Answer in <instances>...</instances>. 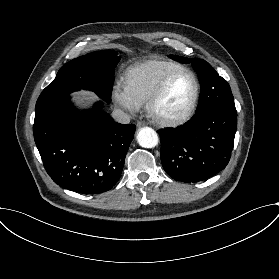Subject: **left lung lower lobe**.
<instances>
[{
    "label": "left lung lower lobe",
    "mask_w": 279,
    "mask_h": 279,
    "mask_svg": "<svg viewBox=\"0 0 279 279\" xmlns=\"http://www.w3.org/2000/svg\"><path fill=\"white\" fill-rule=\"evenodd\" d=\"M236 128L237 114L210 109L178 128L159 130L164 170L187 183L212 177L230 160Z\"/></svg>",
    "instance_id": "obj_1"
}]
</instances>
